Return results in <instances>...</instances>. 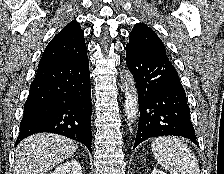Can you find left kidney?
<instances>
[{
	"label": "left kidney",
	"instance_id": "obj_1",
	"mask_svg": "<svg viewBox=\"0 0 224 174\" xmlns=\"http://www.w3.org/2000/svg\"><path fill=\"white\" fill-rule=\"evenodd\" d=\"M151 174H166L164 171L154 168Z\"/></svg>",
	"mask_w": 224,
	"mask_h": 174
}]
</instances>
